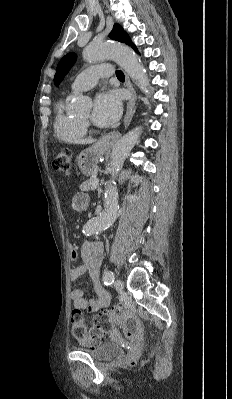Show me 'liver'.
Listing matches in <instances>:
<instances>
[{"instance_id": "6515ba94", "label": "liver", "mask_w": 232, "mask_h": 399, "mask_svg": "<svg viewBox=\"0 0 232 399\" xmlns=\"http://www.w3.org/2000/svg\"><path fill=\"white\" fill-rule=\"evenodd\" d=\"M74 144H92V140H75Z\"/></svg>"}]
</instances>
